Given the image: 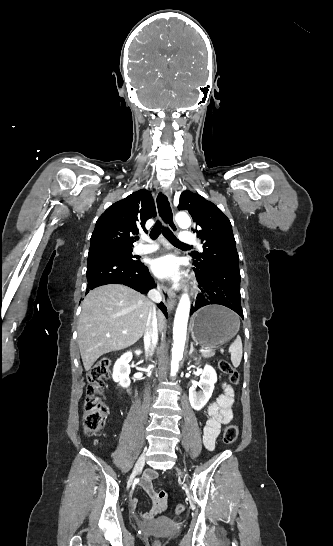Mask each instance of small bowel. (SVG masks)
Masks as SVG:
<instances>
[{
	"mask_svg": "<svg viewBox=\"0 0 333 546\" xmlns=\"http://www.w3.org/2000/svg\"><path fill=\"white\" fill-rule=\"evenodd\" d=\"M221 394L217 400L210 404L207 409L208 419L203 430V444L207 450H213L216 439L220 433L221 426L234 421L235 415L232 409L234 402V390L226 382L220 384ZM158 473L154 469H149L141 480V486L149 495L151 506L149 512L142 515L144 520H150L154 516L163 512L167 507V497L164 491L157 490L154 487V480ZM137 506V500L131 499L129 507L133 511Z\"/></svg>",
	"mask_w": 333,
	"mask_h": 546,
	"instance_id": "small-bowel-1",
	"label": "small bowel"
}]
</instances>
